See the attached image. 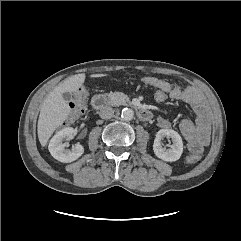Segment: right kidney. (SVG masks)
<instances>
[{"label":"right kidney","mask_w":241,"mask_h":241,"mask_svg":"<svg viewBox=\"0 0 241 241\" xmlns=\"http://www.w3.org/2000/svg\"><path fill=\"white\" fill-rule=\"evenodd\" d=\"M74 135L75 130L72 127H66L52 137L48 149L53 158L63 163H69L77 160L84 153V147L80 144H76L71 150L65 149L66 144L63 143V140Z\"/></svg>","instance_id":"1"}]
</instances>
